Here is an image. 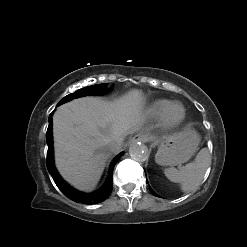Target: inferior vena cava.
<instances>
[{
	"label": "inferior vena cava",
	"instance_id": "obj_1",
	"mask_svg": "<svg viewBox=\"0 0 247 247\" xmlns=\"http://www.w3.org/2000/svg\"><path fill=\"white\" fill-rule=\"evenodd\" d=\"M106 148L110 153H117L121 148V144L117 141H112L107 144Z\"/></svg>",
	"mask_w": 247,
	"mask_h": 247
}]
</instances>
